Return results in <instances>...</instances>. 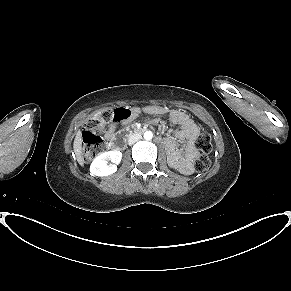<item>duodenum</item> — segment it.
<instances>
[{"label": "duodenum", "instance_id": "obj_1", "mask_svg": "<svg viewBox=\"0 0 291 291\" xmlns=\"http://www.w3.org/2000/svg\"><path fill=\"white\" fill-rule=\"evenodd\" d=\"M143 132L144 127L141 124L126 127L125 130L120 131L117 136L113 138L112 149L115 152H122L127 145L126 140H128L129 137L137 133L142 134Z\"/></svg>", "mask_w": 291, "mask_h": 291}]
</instances>
